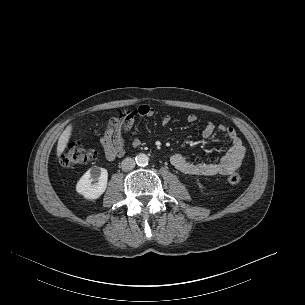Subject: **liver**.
I'll return each mask as SVG.
<instances>
[{
    "label": "liver",
    "instance_id": "liver-1",
    "mask_svg": "<svg viewBox=\"0 0 305 305\" xmlns=\"http://www.w3.org/2000/svg\"><path fill=\"white\" fill-rule=\"evenodd\" d=\"M72 125H68L66 129L62 132L58 139L57 143V156L60 157L61 154L65 151V148L67 146V143L69 142V139L72 135Z\"/></svg>",
    "mask_w": 305,
    "mask_h": 305
}]
</instances>
